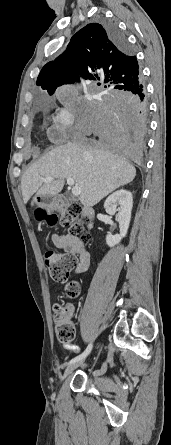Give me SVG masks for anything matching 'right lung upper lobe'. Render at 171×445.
<instances>
[{
	"mask_svg": "<svg viewBox=\"0 0 171 445\" xmlns=\"http://www.w3.org/2000/svg\"><path fill=\"white\" fill-rule=\"evenodd\" d=\"M79 77L101 78L110 92L128 91L142 81L136 56L129 48L117 47L99 23L88 24L75 33L66 51L42 68L36 84L51 95L58 86Z\"/></svg>",
	"mask_w": 171,
	"mask_h": 445,
	"instance_id": "1",
	"label": "right lung upper lobe"
}]
</instances>
